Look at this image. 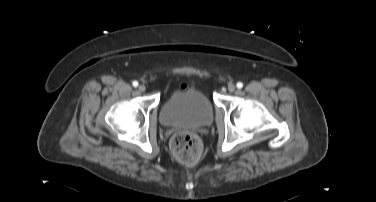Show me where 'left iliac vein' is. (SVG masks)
Segmentation results:
<instances>
[{
    "label": "left iliac vein",
    "instance_id": "obj_1",
    "mask_svg": "<svg viewBox=\"0 0 376 202\" xmlns=\"http://www.w3.org/2000/svg\"><path fill=\"white\" fill-rule=\"evenodd\" d=\"M236 89V85L235 84H229L228 85V91L229 92H234Z\"/></svg>",
    "mask_w": 376,
    "mask_h": 202
}]
</instances>
